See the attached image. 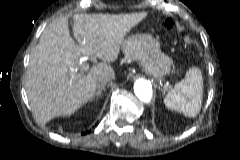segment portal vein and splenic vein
<instances>
[{
  "label": "portal vein and splenic vein",
  "mask_w": 240,
  "mask_h": 160,
  "mask_svg": "<svg viewBox=\"0 0 240 160\" xmlns=\"http://www.w3.org/2000/svg\"><path fill=\"white\" fill-rule=\"evenodd\" d=\"M89 69L88 64L84 65V68H82V70L80 71V73L78 74L79 76H82L84 74L85 71H87ZM74 71V70H73Z\"/></svg>",
  "instance_id": "portal-vein-and-splenic-vein-1"
}]
</instances>
